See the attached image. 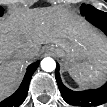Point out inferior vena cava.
<instances>
[{
    "mask_svg": "<svg viewBox=\"0 0 107 107\" xmlns=\"http://www.w3.org/2000/svg\"><path fill=\"white\" fill-rule=\"evenodd\" d=\"M20 54L26 58H31L33 56L32 52L28 50H21Z\"/></svg>",
    "mask_w": 107,
    "mask_h": 107,
    "instance_id": "1",
    "label": "inferior vena cava"
}]
</instances>
